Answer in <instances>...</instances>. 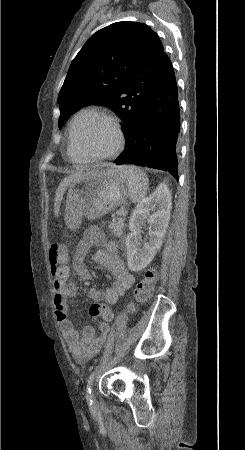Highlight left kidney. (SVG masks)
<instances>
[{
  "mask_svg": "<svg viewBox=\"0 0 245 450\" xmlns=\"http://www.w3.org/2000/svg\"><path fill=\"white\" fill-rule=\"evenodd\" d=\"M171 205V193L163 183L137 204L130 217V233L126 237L127 264L131 271L146 268L160 249L169 224ZM145 221L152 228L149 229V241L142 243L140 235Z\"/></svg>",
  "mask_w": 245,
  "mask_h": 450,
  "instance_id": "5707ae66",
  "label": "left kidney"
}]
</instances>
